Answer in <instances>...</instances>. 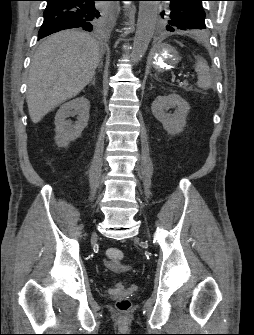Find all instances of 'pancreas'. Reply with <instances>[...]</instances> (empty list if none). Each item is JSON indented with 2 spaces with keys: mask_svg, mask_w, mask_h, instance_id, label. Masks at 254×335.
<instances>
[{
  "mask_svg": "<svg viewBox=\"0 0 254 335\" xmlns=\"http://www.w3.org/2000/svg\"><path fill=\"white\" fill-rule=\"evenodd\" d=\"M188 86V83H183L182 87L187 90V91H190L192 88L191 87H187Z\"/></svg>",
  "mask_w": 254,
  "mask_h": 335,
  "instance_id": "1",
  "label": "pancreas"
}]
</instances>
